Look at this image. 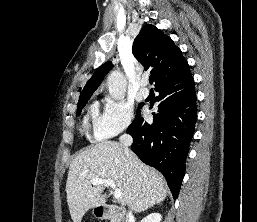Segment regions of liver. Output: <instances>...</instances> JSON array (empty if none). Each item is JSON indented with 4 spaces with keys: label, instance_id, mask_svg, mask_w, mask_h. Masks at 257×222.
Here are the masks:
<instances>
[{
    "label": "liver",
    "instance_id": "obj_1",
    "mask_svg": "<svg viewBox=\"0 0 257 222\" xmlns=\"http://www.w3.org/2000/svg\"><path fill=\"white\" fill-rule=\"evenodd\" d=\"M111 179L121 190L122 206L142 212L167 195L166 181L155 169L145 165L131 152L128 159L123 146L114 141L97 143L77 155L70 164L67 183V203L73 222H81L91 208L105 205V184L92 187V178Z\"/></svg>",
    "mask_w": 257,
    "mask_h": 222
}]
</instances>
